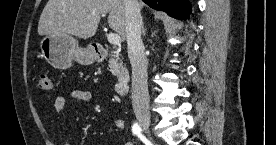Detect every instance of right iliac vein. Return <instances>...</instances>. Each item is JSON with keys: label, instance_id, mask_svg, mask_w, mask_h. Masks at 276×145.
Returning a JSON list of instances; mask_svg holds the SVG:
<instances>
[{"label": "right iliac vein", "instance_id": "obj_1", "mask_svg": "<svg viewBox=\"0 0 276 145\" xmlns=\"http://www.w3.org/2000/svg\"><path fill=\"white\" fill-rule=\"evenodd\" d=\"M137 120H138L139 124L142 126L144 132L146 134H148V136H150L149 135V127H150V122H151L150 116L138 115Z\"/></svg>", "mask_w": 276, "mask_h": 145}]
</instances>
